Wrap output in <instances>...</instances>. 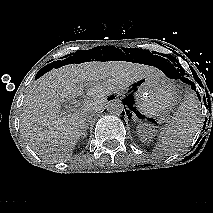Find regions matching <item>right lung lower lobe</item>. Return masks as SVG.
Wrapping results in <instances>:
<instances>
[{"instance_id":"1","label":"right lung lower lobe","mask_w":213,"mask_h":213,"mask_svg":"<svg viewBox=\"0 0 213 213\" xmlns=\"http://www.w3.org/2000/svg\"><path fill=\"white\" fill-rule=\"evenodd\" d=\"M56 65V64H59V62L57 61V62H53V63H51V64H49V65ZM46 68H47V66L46 67H44V68H42L38 73H37V75H36V77L35 78H38V77H40L42 74H44L45 73V71H46ZM50 68H47V71L49 70Z\"/></svg>"}]
</instances>
